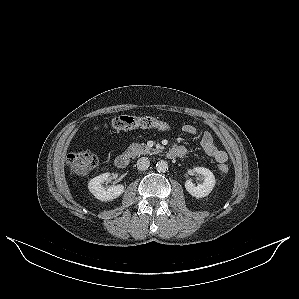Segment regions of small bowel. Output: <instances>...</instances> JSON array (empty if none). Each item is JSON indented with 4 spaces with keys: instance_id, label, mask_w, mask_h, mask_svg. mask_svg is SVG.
I'll return each instance as SVG.
<instances>
[{
    "instance_id": "small-bowel-1",
    "label": "small bowel",
    "mask_w": 299,
    "mask_h": 299,
    "mask_svg": "<svg viewBox=\"0 0 299 299\" xmlns=\"http://www.w3.org/2000/svg\"><path fill=\"white\" fill-rule=\"evenodd\" d=\"M182 131L186 134L194 135L196 133V128L191 124H185L182 127ZM201 144L206 154L214 158L219 164L225 163L227 161V153L215 145L213 136L210 132H205L203 134L201 138Z\"/></svg>"
}]
</instances>
